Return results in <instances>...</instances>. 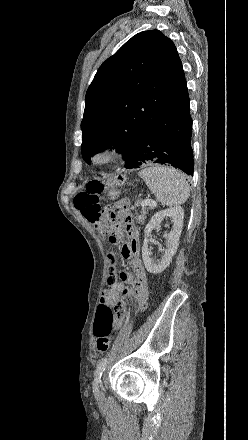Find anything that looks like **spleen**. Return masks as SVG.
<instances>
[{
	"instance_id": "1",
	"label": "spleen",
	"mask_w": 248,
	"mask_h": 440,
	"mask_svg": "<svg viewBox=\"0 0 248 440\" xmlns=\"http://www.w3.org/2000/svg\"><path fill=\"white\" fill-rule=\"evenodd\" d=\"M138 175L162 205H181L190 195L185 178L174 168L151 165L141 170Z\"/></svg>"
}]
</instances>
